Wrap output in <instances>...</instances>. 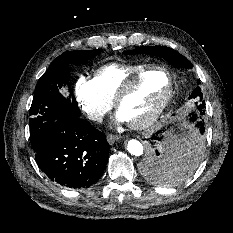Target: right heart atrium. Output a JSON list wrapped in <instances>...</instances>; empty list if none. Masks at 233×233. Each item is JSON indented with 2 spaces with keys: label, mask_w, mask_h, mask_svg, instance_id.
<instances>
[{
  "label": "right heart atrium",
  "mask_w": 233,
  "mask_h": 233,
  "mask_svg": "<svg viewBox=\"0 0 233 233\" xmlns=\"http://www.w3.org/2000/svg\"><path fill=\"white\" fill-rule=\"evenodd\" d=\"M74 96L81 112L93 122H100L111 106V102L101 94L94 78L79 76Z\"/></svg>",
  "instance_id": "1"
}]
</instances>
